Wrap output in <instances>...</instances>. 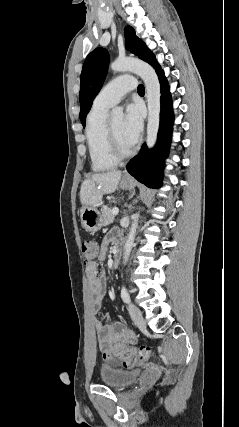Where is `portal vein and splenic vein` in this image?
Returning a JSON list of instances; mask_svg holds the SVG:
<instances>
[{"mask_svg":"<svg viewBox=\"0 0 239 427\" xmlns=\"http://www.w3.org/2000/svg\"><path fill=\"white\" fill-rule=\"evenodd\" d=\"M119 213V209L117 207H114L112 209V214L117 215Z\"/></svg>","mask_w":239,"mask_h":427,"instance_id":"18ae733b","label":"portal vein and splenic vein"}]
</instances>
